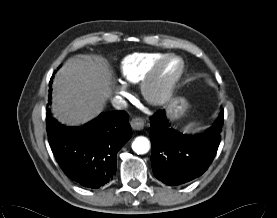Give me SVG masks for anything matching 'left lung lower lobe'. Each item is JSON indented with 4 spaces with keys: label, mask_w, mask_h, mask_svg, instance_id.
<instances>
[{
    "label": "left lung lower lobe",
    "mask_w": 277,
    "mask_h": 218,
    "mask_svg": "<svg viewBox=\"0 0 277 218\" xmlns=\"http://www.w3.org/2000/svg\"><path fill=\"white\" fill-rule=\"evenodd\" d=\"M150 120L151 163L157 179L170 186L180 185L208 169L221 141L223 110L210 128L194 136L170 128L163 110Z\"/></svg>",
    "instance_id": "1"
}]
</instances>
